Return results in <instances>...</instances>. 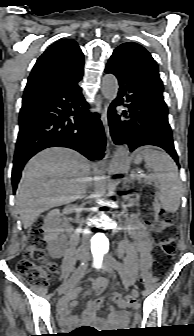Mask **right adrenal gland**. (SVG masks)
<instances>
[{"label":"right adrenal gland","instance_id":"obj_1","mask_svg":"<svg viewBox=\"0 0 194 336\" xmlns=\"http://www.w3.org/2000/svg\"><path fill=\"white\" fill-rule=\"evenodd\" d=\"M92 187V179L89 178V181L87 182L86 189L89 190Z\"/></svg>","mask_w":194,"mask_h":336}]
</instances>
